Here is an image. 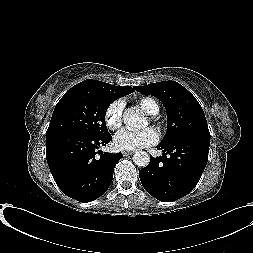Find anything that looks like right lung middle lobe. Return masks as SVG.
Segmentation results:
<instances>
[{
    "label": "right lung middle lobe",
    "mask_w": 253,
    "mask_h": 253,
    "mask_svg": "<svg viewBox=\"0 0 253 253\" xmlns=\"http://www.w3.org/2000/svg\"><path fill=\"white\" fill-rule=\"evenodd\" d=\"M128 93L91 86H73L56 105L46 138L81 133L91 136L109 134L105 114L109 105Z\"/></svg>",
    "instance_id": "dd1d6c3e"
}]
</instances>
